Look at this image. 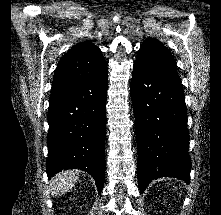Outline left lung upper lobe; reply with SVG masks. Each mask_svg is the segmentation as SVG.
<instances>
[{"label": "left lung upper lobe", "mask_w": 221, "mask_h": 215, "mask_svg": "<svg viewBox=\"0 0 221 215\" xmlns=\"http://www.w3.org/2000/svg\"><path fill=\"white\" fill-rule=\"evenodd\" d=\"M136 61L177 74L176 62L171 52L154 38H148L142 43Z\"/></svg>", "instance_id": "1"}]
</instances>
